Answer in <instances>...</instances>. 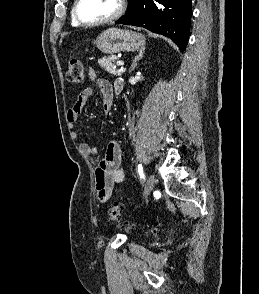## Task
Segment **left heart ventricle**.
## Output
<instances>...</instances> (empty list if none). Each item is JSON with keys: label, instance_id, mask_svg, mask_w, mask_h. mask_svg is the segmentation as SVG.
Returning <instances> with one entry per match:
<instances>
[{"label": "left heart ventricle", "instance_id": "obj_1", "mask_svg": "<svg viewBox=\"0 0 259 294\" xmlns=\"http://www.w3.org/2000/svg\"><path fill=\"white\" fill-rule=\"evenodd\" d=\"M118 0H81L78 11L82 20L94 22L113 14Z\"/></svg>", "mask_w": 259, "mask_h": 294}]
</instances>
